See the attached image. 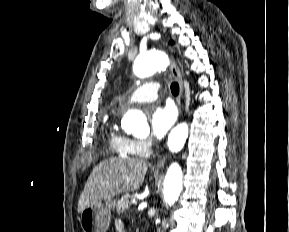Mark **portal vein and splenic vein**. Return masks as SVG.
Returning <instances> with one entry per match:
<instances>
[{
	"mask_svg": "<svg viewBox=\"0 0 289 232\" xmlns=\"http://www.w3.org/2000/svg\"><path fill=\"white\" fill-rule=\"evenodd\" d=\"M131 203L135 205L137 202H136L135 199H132V200H131Z\"/></svg>",
	"mask_w": 289,
	"mask_h": 232,
	"instance_id": "1",
	"label": "portal vein and splenic vein"
}]
</instances>
